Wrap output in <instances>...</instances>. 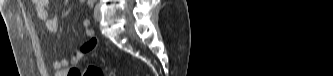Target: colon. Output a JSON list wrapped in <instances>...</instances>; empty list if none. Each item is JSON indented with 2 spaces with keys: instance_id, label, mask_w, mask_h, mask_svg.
Listing matches in <instances>:
<instances>
[{
  "instance_id": "5ec220e1",
  "label": "colon",
  "mask_w": 333,
  "mask_h": 76,
  "mask_svg": "<svg viewBox=\"0 0 333 76\" xmlns=\"http://www.w3.org/2000/svg\"><path fill=\"white\" fill-rule=\"evenodd\" d=\"M82 72H84V76H104V72L92 64L88 65ZM109 75L115 76L116 74L111 72Z\"/></svg>"
}]
</instances>
